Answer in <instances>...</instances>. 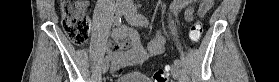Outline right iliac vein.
<instances>
[{
    "label": "right iliac vein",
    "mask_w": 279,
    "mask_h": 82,
    "mask_svg": "<svg viewBox=\"0 0 279 82\" xmlns=\"http://www.w3.org/2000/svg\"><path fill=\"white\" fill-rule=\"evenodd\" d=\"M125 12V7L120 5V6H116L115 8V13L118 16H121L123 13ZM109 69V62L108 61H104L102 64V73H106Z\"/></svg>",
    "instance_id": "63e3f726"
}]
</instances>
